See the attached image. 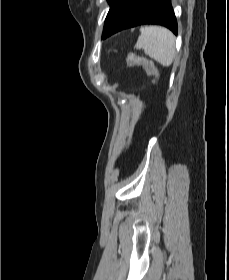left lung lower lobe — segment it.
Masks as SVG:
<instances>
[{
    "mask_svg": "<svg viewBox=\"0 0 229 280\" xmlns=\"http://www.w3.org/2000/svg\"><path fill=\"white\" fill-rule=\"evenodd\" d=\"M142 24H158L177 34V22L170 0H129L114 24L102 38L126 28Z\"/></svg>",
    "mask_w": 229,
    "mask_h": 280,
    "instance_id": "obj_1",
    "label": "left lung lower lobe"
}]
</instances>
